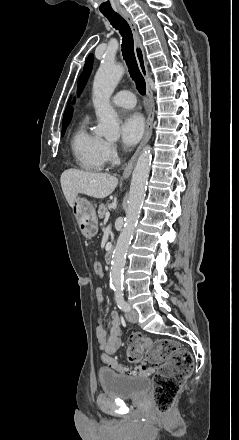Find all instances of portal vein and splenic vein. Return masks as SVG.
<instances>
[{
    "label": "portal vein and splenic vein",
    "mask_w": 239,
    "mask_h": 440,
    "mask_svg": "<svg viewBox=\"0 0 239 440\" xmlns=\"http://www.w3.org/2000/svg\"><path fill=\"white\" fill-rule=\"evenodd\" d=\"M109 216H110L109 212H106V218H105V220H108Z\"/></svg>",
    "instance_id": "18ae733b"
}]
</instances>
